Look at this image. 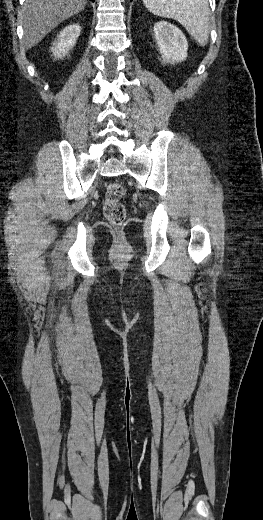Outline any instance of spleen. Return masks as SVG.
<instances>
[{
    "label": "spleen",
    "mask_w": 263,
    "mask_h": 520,
    "mask_svg": "<svg viewBox=\"0 0 263 520\" xmlns=\"http://www.w3.org/2000/svg\"><path fill=\"white\" fill-rule=\"evenodd\" d=\"M149 12L177 20L198 45L208 43L210 9L208 0H143Z\"/></svg>",
    "instance_id": "obj_1"
}]
</instances>
